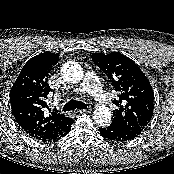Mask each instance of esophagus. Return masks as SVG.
<instances>
[{"mask_svg":"<svg viewBox=\"0 0 174 174\" xmlns=\"http://www.w3.org/2000/svg\"><path fill=\"white\" fill-rule=\"evenodd\" d=\"M92 111V108L79 110L80 113H86Z\"/></svg>","mask_w":174,"mask_h":174,"instance_id":"1","label":"esophagus"}]
</instances>
